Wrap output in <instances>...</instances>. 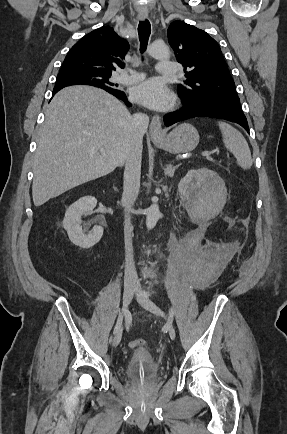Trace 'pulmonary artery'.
Masks as SVG:
<instances>
[{
  "label": "pulmonary artery",
  "instance_id": "pulmonary-artery-1",
  "mask_svg": "<svg viewBox=\"0 0 287 434\" xmlns=\"http://www.w3.org/2000/svg\"><path fill=\"white\" fill-rule=\"evenodd\" d=\"M157 72L161 75H176L177 74V65L170 62H159L157 64ZM144 78L142 73L136 71H130L129 73H123L119 76L118 80L121 83L131 84L138 82Z\"/></svg>",
  "mask_w": 287,
  "mask_h": 434
}]
</instances>
